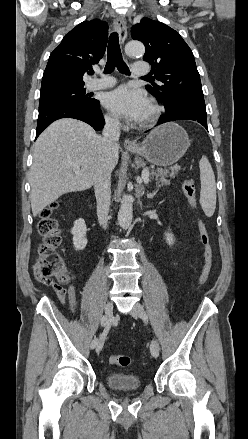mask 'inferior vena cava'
<instances>
[{
    "mask_svg": "<svg viewBox=\"0 0 248 439\" xmlns=\"http://www.w3.org/2000/svg\"><path fill=\"white\" fill-rule=\"evenodd\" d=\"M102 142L108 150L118 148L120 136V122L117 118L107 117L103 129ZM111 171L103 169L94 181V190L97 201V216L104 229L107 228L108 213L111 200Z\"/></svg>",
    "mask_w": 248,
    "mask_h": 439,
    "instance_id": "obj_1",
    "label": "inferior vena cava"
}]
</instances>
